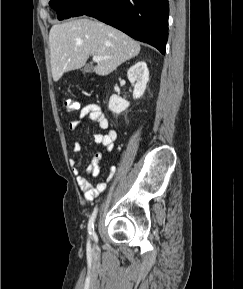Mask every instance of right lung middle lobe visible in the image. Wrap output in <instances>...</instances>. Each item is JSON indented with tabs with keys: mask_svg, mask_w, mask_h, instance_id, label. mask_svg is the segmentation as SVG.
Returning a JSON list of instances; mask_svg holds the SVG:
<instances>
[{
	"mask_svg": "<svg viewBox=\"0 0 243 289\" xmlns=\"http://www.w3.org/2000/svg\"><path fill=\"white\" fill-rule=\"evenodd\" d=\"M87 0H50V6L56 10L58 19L70 18Z\"/></svg>",
	"mask_w": 243,
	"mask_h": 289,
	"instance_id": "dd1d6c3e",
	"label": "right lung middle lobe"
}]
</instances>
